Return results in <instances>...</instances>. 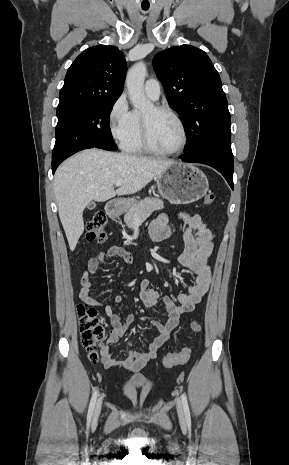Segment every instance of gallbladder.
<instances>
[{
	"mask_svg": "<svg viewBox=\"0 0 289 465\" xmlns=\"http://www.w3.org/2000/svg\"><path fill=\"white\" fill-rule=\"evenodd\" d=\"M95 206H96L95 202H90V203L88 204V208H89V209H93Z\"/></svg>",
	"mask_w": 289,
	"mask_h": 465,
	"instance_id": "obj_1",
	"label": "gallbladder"
}]
</instances>
